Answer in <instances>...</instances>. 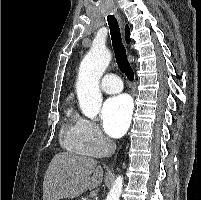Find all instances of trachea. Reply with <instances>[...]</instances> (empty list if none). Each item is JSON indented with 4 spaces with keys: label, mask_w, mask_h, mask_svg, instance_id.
I'll return each mask as SVG.
<instances>
[{
    "label": "trachea",
    "mask_w": 201,
    "mask_h": 200,
    "mask_svg": "<svg viewBox=\"0 0 201 200\" xmlns=\"http://www.w3.org/2000/svg\"><path fill=\"white\" fill-rule=\"evenodd\" d=\"M107 21L110 28L112 46L115 53L116 62L122 72L127 76L128 80L133 81L134 72L127 59L126 50L122 43L118 21L113 15H108Z\"/></svg>",
    "instance_id": "1"
}]
</instances>
